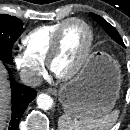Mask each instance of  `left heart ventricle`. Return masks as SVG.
<instances>
[{"instance_id":"obj_1","label":"left heart ventricle","mask_w":130,"mask_h":130,"mask_svg":"<svg viewBox=\"0 0 130 130\" xmlns=\"http://www.w3.org/2000/svg\"><path fill=\"white\" fill-rule=\"evenodd\" d=\"M88 33L79 23L68 24L61 36V49L53 69L59 74L69 72L80 60L87 45Z\"/></svg>"}]
</instances>
